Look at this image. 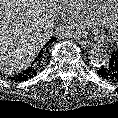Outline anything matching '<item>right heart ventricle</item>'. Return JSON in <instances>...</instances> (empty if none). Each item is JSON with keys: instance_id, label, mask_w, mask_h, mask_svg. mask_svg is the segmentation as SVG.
<instances>
[{"instance_id": "e07e8e85", "label": "right heart ventricle", "mask_w": 118, "mask_h": 118, "mask_svg": "<svg viewBox=\"0 0 118 118\" xmlns=\"http://www.w3.org/2000/svg\"><path fill=\"white\" fill-rule=\"evenodd\" d=\"M94 20H103L113 0H76Z\"/></svg>"}]
</instances>
